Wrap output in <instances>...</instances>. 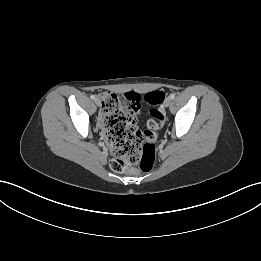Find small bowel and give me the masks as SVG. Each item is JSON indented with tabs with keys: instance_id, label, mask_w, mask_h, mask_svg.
<instances>
[{
	"instance_id": "c3829d8e",
	"label": "small bowel",
	"mask_w": 261,
	"mask_h": 261,
	"mask_svg": "<svg viewBox=\"0 0 261 261\" xmlns=\"http://www.w3.org/2000/svg\"><path fill=\"white\" fill-rule=\"evenodd\" d=\"M131 94H133V93H128V94H126L125 99L128 98L129 95H131ZM137 111H138V109H136L135 111H132V116H133V122H134V123H136V113H137Z\"/></svg>"
}]
</instances>
